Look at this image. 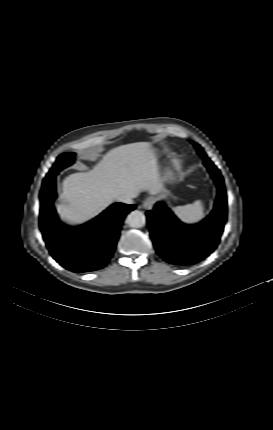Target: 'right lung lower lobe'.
Instances as JSON below:
<instances>
[{
	"instance_id": "1",
	"label": "right lung lower lobe",
	"mask_w": 273,
	"mask_h": 430,
	"mask_svg": "<svg viewBox=\"0 0 273 430\" xmlns=\"http://www.w3.org/2000/svg\"><path fill=\"white\" fill-rule=\"evenodd\" d=\"M55 177L43 181L40 193V230L51 256L76 273L104 268L113 256L124 217L135 205L115 203L88 223L68 227L59 221L53 206Z\"/></svg>"
}]
</instances>
